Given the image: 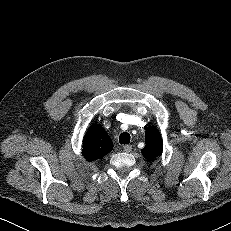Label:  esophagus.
I'll list each match as a JSON object with an SVG mask.
<instances>
[{
  "label": "esophagus",
  "instance_id": "obj_1",
  "mask_svg": "<svg viewBox=\"0 0 231 231\" xmlns=\"http://www.w3.org/2000/svg\"><path fill=\"white\" fill-rule=\"evenodd\" d=\"M123 150L126 152V153H130L132 151V146L131 145H125L123 147Z\"/></svg>",
  "mask_w": 231,
  "mask_h": 231
}]
</instances>
